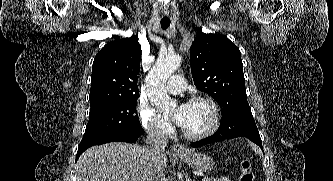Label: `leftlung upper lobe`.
Listing matches in <instances>:
<instances>
[{"label": "left lung upper lobe", "instance_id": "obj_1", "mask_svg": "<svg viewBox=\"0 0 333 181\" xmlns=\"http://www.w3.org/2000/svg\"><path fill=\"white\" fill-rule=\"evenodd\" d=\"M190 59L197 89L216 100L222 108L221 120L234 122L230 134L261 140L247 102L240 50L223 35L199 30L191 45Z\"/></svg>", "mask_w": 333, "mask_h": 181}]
</instances>
